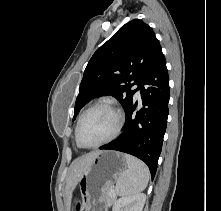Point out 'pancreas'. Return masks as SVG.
I'll return each instance as SVG.
<instances>
[{"instance_id":"cf45deb5","label":"pancreas","mask_w":221,"mask_h":211,"mask_svg":"<svg viewBox=\"0 0 221 211\" xmlns=\"http://www.w3.org/2000/svg\"><path fill=\"white\" fill-rule=\"evenodd\" d=\"M112 189H113V186H111V187L107 190V192H106V194H105L104 202L106 203V206L112 205V204L114 203V201H115V196L113 197V196L110 195V191H111Z\"/></svg>"}]
</instances>
